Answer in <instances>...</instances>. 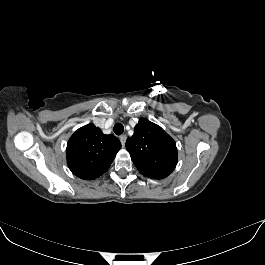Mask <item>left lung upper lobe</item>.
I'll list each match as a JSON object with an SVG mask.
<instances>
[{
	"label": "left lung upper lobe",
	"mask_w": 265,
	"mask_h": 265,
	"mask_svg": "<svg viewBox=\"0 0 265 265\" xmlns=\"http://www.w3.org/2000/svg\"><path fill=\"white\" fill-rule=\"evenodd\" d=\"M126 149L139 172L148 178H166L177 165L174 140L145 118L139 120L133 136L127 139Z\"/></svg>",
	"instance_id": "left-lung-upper-lobe-1"
}]
</instances>
